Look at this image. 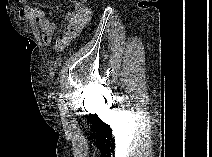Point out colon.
<instances>
[{
	"instance_id": "5ec220e1",
	"label": "colon",
	"mask_w": 212,
	"mask_h": 157,
	"mask_svg": "<svg viewBox=\"0 0 212 157\" xmlns=\"http://www.w3.org/2000/svg\"><path fill=\"white\" fill-rule=\"evenodd\" d=\"M70 5H72L74 7H81L82 2L80 0H70Z\"/></svg>"
}]
</instances>
